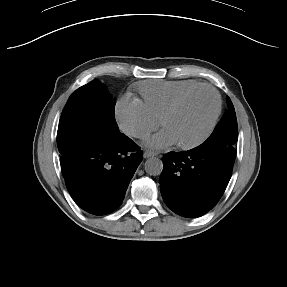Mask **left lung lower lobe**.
I'll return each instance as SVG.
<instances>
[{
    "instance_id": "0a47b994",
    "label": "left lung lower lobe",
    "mask_w": 287,
    "mask_h": 287,
    "mask_svg": "<svg viewBox=\"0 0 287 287\" xmlns=\"http://www.w3.org/2000/svg\"><path fill=\"white\" fill-rule=\"evenodd\" d=\"M232 165L215 151L200 145L163 157L160 189L175 213L193 218L212 209L224 193Z\"/></svg>"
}]
</instances>
